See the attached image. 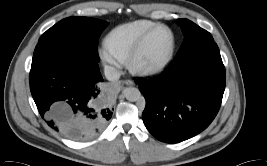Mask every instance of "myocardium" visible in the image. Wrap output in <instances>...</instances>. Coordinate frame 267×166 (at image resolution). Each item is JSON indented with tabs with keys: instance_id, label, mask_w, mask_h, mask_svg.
I'll return each mask as SVG.
<instances>
[{
	"instance_id": "obj_1",
	"label": "myocardium",
	"mask_w": 267,
	"mask_h": 166,
	"mask_svg": "<svg viewBox=\"0 0 267 166\" xmlns=\"http://www.w3.org/2000/svg\"><path fill=\"white\" fill-rule=\"evenodd\" d=\"M159 29H166L169 31L171 35V46L169 49V52L167 56L159 63L150 65V66H142L137 63V59L142 53L144 47L146 46L149 38ZM176 48V36L174 31L167 25L164 24H157L153 28H151L149 31H147L141 39L138 41V43L135 45V47L132 49L130 54L127 57V66L128 68L133 71L134 73H137L139 75H152L155 73H158L162 71L164 68H166L169 63L171 62L174 52Z\"/></svg>"
}]
</instances>
